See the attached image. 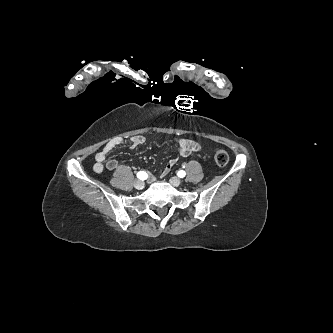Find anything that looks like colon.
Wrapping results in <instances>:
<instances>
[{"instance_id":"5ec220e1","label":"colon","mask_w":333,"mask_h":333,"mask_svg":"<svg viewBox=\"0 0 333 333\" xmlns=\"http://www.w3.org/2000/svg\"><path fill=\"white\" fill-rule=\"evenodd\" d=\"M214 160L217 165L225 166L229 161L228 153L225 150L217 149L214 152Z\"/></svg>"}]
</instances>
